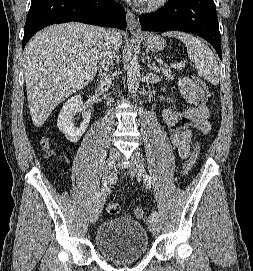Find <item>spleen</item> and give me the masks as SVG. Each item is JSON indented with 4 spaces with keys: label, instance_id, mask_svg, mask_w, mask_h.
Here are the masks:
<instances>
[{
    "label": "spleen",
    "instance_id": "spleen-1",
    "mask_svg": "<svg viewBox=\"0 0 253 271\" xmlns=\"http://www.w3.org/2000/svg\"><path fill=\"white\" fill-rule=\"evenodd\" d=\"M163 36L181 40L186 45L189 58L198 66L199 76L214 85L219 83L218 62L210 48L198 38L185 32L166 31Z\"/></svg>",
    "mask_w": 253,
    "mask_h": 271
}]
</instances>
